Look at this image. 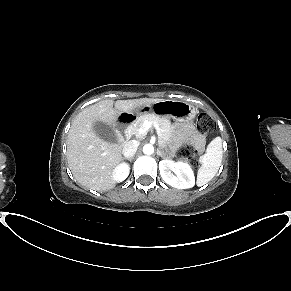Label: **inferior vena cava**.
Here are the masks:
<instances>
[{
	"label": "inferior vena cava",
	"instance_id": "inferior-vena-cava-1",
	"mask_svg": "<svg viewBox=\"0 0 291 291\" xmlns=\"http://www.w3.org/2000/svg\"><path fill=\"white\" fill-rule=\"evenodd\" d=\"M138 146H139V142L136 140H131V141L127 142L124 145L123 150H122L123 155L126 158L133 157L138 149Z\"/></svg>",
	"mask_w": 291,
	"mask_h": 291
}]
</instances>
